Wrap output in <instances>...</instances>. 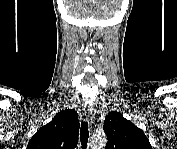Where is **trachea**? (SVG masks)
<instances>
[{
    "label": "trachea",
    "instance_id": "3493384b",
    "mask_svg": "<svg viewBox=\"0 0 177 149\" xmlns=\"http://www.w3.org/2000/svg\"><path fill=\"white\" fill-rule=\"evenodd\" d=\"M89 138L88 123L82 122L80 128V141L83 149L87 148Z\"/></svg>",
    "mask_w": 177,
    "mask_h": 149
}]
</instances>
